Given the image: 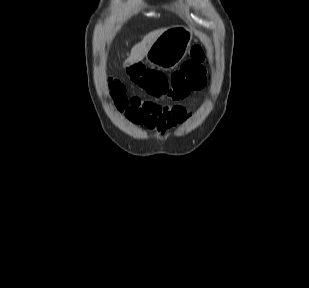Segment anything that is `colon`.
Wrapping results in <instances>:
<instances>
[{
	"label": "colon",
	"mask_w": 309,
	"mask_h": 288,
	"mask_svg": "<svg viewBox=\"0 0 309 288\" xmlns=\"http://www.w3.org/2000/svg\"><path fill=\"white\" fill-rule=\"evenodd\" d=\"M190 53L191 59L184 62L169 78L161 71L144 68L140 63L128 66L126 73L131 82L145 88L151 96L173 101L181 100L191 91L202 90L207 83L203 48L200 45H194ZM108 87L115 96L118 106L126 107L128 100L123 82L112 77L108 81ZM127 110L130 111L129 107Z\"/></svg>",
	"instance_id": "5ec220e1"
}]
</instances>
